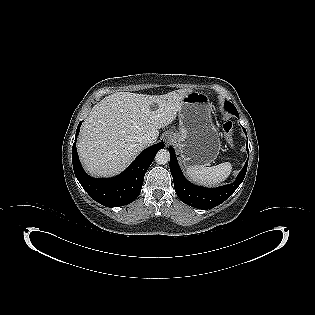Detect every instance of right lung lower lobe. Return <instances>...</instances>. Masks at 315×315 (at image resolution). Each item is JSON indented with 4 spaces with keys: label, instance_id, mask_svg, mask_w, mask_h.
Segmentation results:
<instances>
[{
    "label": "right lung lower lobe",
    "instance_id": "right-lung-lower-lobe-1",
    "mask_svg": "<svg viewBox=\"0 0 315 315\" xmlns=\"http://www.w3.org/2000/svg\"><path fill=\"white\" fill-rule=\"evenodd\" d=\"M81 123L76 130V136L80 131ZM162 148H164L163 142L152 145L144 149L123 173L112 178L96 179L84 172L74 142L72 148L74 173L84 190L98 203L106 207L127 205L139 196L144 175L156 152Z\"/></svg>",
    "mask_w": 315,
    "mask_h": 315
}]
</instances>
